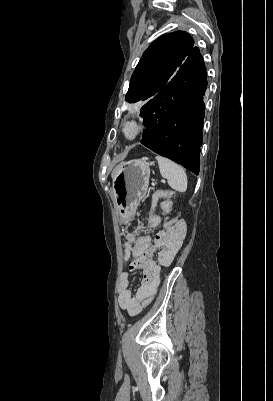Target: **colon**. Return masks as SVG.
Instances as JSON below:
<instances>
[{
    "mask_svg": "<svg viewBox=\"0 0 273 401\" xmlns=\"http://www.w3.org/2000/svg\"><path fill=\"white\" fill-rule=\"evenodd\" d=\"M168 230H173L175 228H182L183 230L185 229V225L183 222L178 221V220H171L166 224ZM158 238L160 241H184L185 239V234L184 232H160L158 235ZM142 279L144 282H151L153 279V276L151 273H144L142 276Z\"/></svg>",
    "mask_w": 273,
    "mask_h": 401,
    "instance_id": "colon-1",
    "label": "colon"
}]
</instances>
